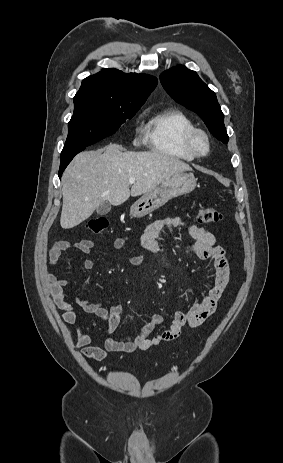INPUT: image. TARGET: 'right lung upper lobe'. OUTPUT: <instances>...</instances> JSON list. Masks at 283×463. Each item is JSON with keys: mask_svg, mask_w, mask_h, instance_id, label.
Here are the masks:
<instances>
[{"mask_svg": "<svg viewBox=\"0 0 283 463\" xmlns=\"http://www.w3.org/2000/svg\"><path fill=\"white\" fill-rule=\"evenodd\" d=\"M156 85L157 79L151 75L103 69L85 78L76 95L100 100L144 103Z\"/></svg>", "mask_w": 283, "mask_h": 463, "instance_id": "right-lung-upper-lobe-1", "label": "right lung upper lobe"}]
</instances>
